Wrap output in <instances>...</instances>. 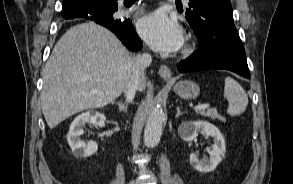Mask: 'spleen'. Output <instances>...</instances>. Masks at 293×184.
<instances>
[{"instance_id": "1", "label": "spleen", "mask_w": 293, "mask_h": 184, "mask_svg": "<svg viewBox=\"0 0 293 184\" xmlns=\"http://www.w3.org/2000/svg\"><path fill=\"white\" fill-rule=\"evenodd\" d=\"M224 97L228 100L227 113L230 116L245 112L248 105V96L243 87L233 78H225Z\"/></svg>"}]
</instances>
